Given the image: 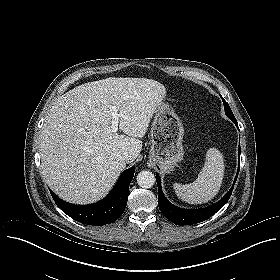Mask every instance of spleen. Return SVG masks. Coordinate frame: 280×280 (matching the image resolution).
I'll use <instances>...</instances> for the list:
<instances>
[{
    "mask_svg": "<svg viewBox=\"0 0 280 280\" xmlns=\"http://www.w3.org/2000/svg\"><path fill=\"white\" fill-rule=\"evenodd\" d=\"M224 160L219 150L210 148L197 179L190 184L173 185L177 196L189 204H202L213 199L219 192L224 177Z\"/></svg>",
    "mask_w": 280,
    "mask_h": 280,
    "instance_id": "obj_1",
    "label": "spleen"
}]
</instances>
